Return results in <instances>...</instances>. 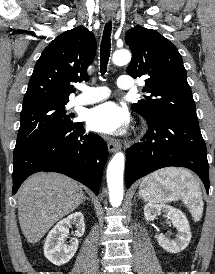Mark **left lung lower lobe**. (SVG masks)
I'll use <instances>...</instances> for the list:
<instances>
[{
    "instance_id": "1",
    "label": "left lung lower lobe",
    "mask_w": 215,
    "mask_h": 274,
    "mask_svg": "<svg viewBox=\"0 0 215 274\" xmlns=\"http://www.w3.org/2000/svg\"><path fill=\"white\" fill-rule=\"evenodd\" d=\"M149 129L141 143L127 149L126 186L164 167L194 171L209 192L207 150L196 121L174 116L146 119Z\"/></svg>"
}]
</instances>
